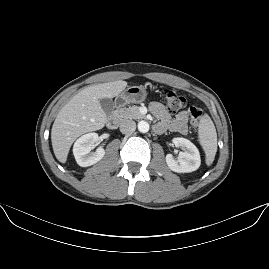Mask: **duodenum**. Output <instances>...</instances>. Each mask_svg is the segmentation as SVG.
Wrapping results in <instances>:
<instances>
[{"label": "duodenum", "mask_w": 269, "mask_h": 269, "mask_svg": "<svg viewBox=\"0 0 269 269\" xmlns=\"http://www.w3.org/2000/svg\"><path fill=\"white\" fill-rule=\"evenodd\" d=\"M119 119L116 115H112L107 120V126L110 129H115L118 125Z\"/></svg>", "instance_id": "410a0bca"}]
</instances>
